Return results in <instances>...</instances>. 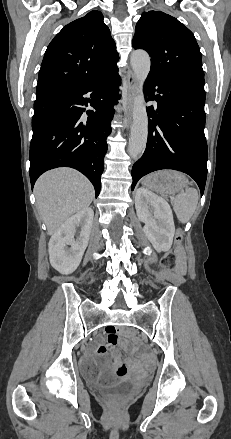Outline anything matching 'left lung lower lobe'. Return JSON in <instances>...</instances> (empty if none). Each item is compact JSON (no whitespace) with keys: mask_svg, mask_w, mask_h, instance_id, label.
Instances as JSON below:
<instances>
[{"mask_svg":"<svg viewBox=\"0 0 231 439\" xmlns=\"http://www.w3.org/2000/svg\"><path fill=\"white\" fill-rule=\"evenodd\" d=\"M155 86L157 95L152 94ZM145 94H151L148 100L156 98L158 106L156 110L147 108L148 142L143 156L133 165L131 189L150 172L174 169L190 175L202 195L208 159L204 84L148 77Z\"/></svg>","mask_w":231,"mask_h":439,"instance_id":"1","label":"left lung lower lobe"}]
</instances>
